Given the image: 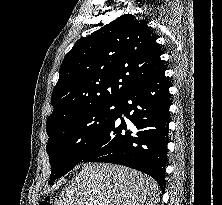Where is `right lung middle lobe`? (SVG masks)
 <instances>
[{"label": "right lung middle lobe", "mask_w": 222, "mask_h": 205, "mask_svg": "<svg viewBox=\"0 0 222 205\" xmlns=\"http://www.w3.org/2000/svg\"><path fill=\"white\" fill-rule=\"evenodd\" d=\"M119 103L94 104L46 125L49 135L47 153L51 164L49 184L82 161L92 141L113 120Z\"/></svg>", "instance_id": "1"}]
</instances>
